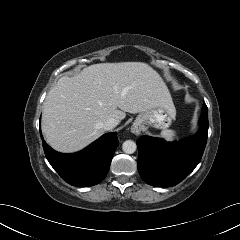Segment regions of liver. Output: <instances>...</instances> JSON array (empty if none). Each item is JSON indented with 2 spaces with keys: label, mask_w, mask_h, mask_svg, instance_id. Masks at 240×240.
Listing matches in <instances>:
<instances>
[{
  "label": "liver",
  "mask_w": 240,
  "mask_h": 240,
  "mask_svg": "<svg viewBox=\"0 0 240 240\" xmlns=\"http://www.w3.org/2000/svg\"><path fill=\"white\" fill-rule=\"evenodd\" d=\"M173 106L161 76L142 62L101 63L79 74L61 77L43 104L42 132L47 143L60 152H75L99 138L103 123Z\"/></svg>",
  "instance_id": "1"
}]
</instances>
